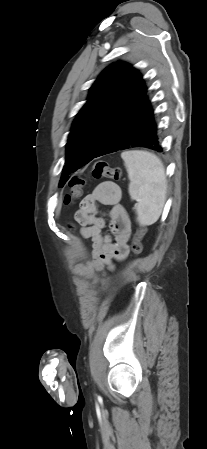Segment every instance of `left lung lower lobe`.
Wrapping results in <instances>:
<instances>
[{
    "mask_svg": "<svg viewBox=\"0 0 207 449\" xmlns=\"http://www.w3.org/2000/svg\"><path fill=\"white\" fill-rule=\"evenodd\" d=\"M131 147H145L162 152L157 124L148 97H145L112 129L94 158Z\"/></svg>",
    "mask_w": 207,
    "mask_h": 449,
    "instance_id": "0a47b994",
    "label": "left lung lower lobe"
}]
</instances>
